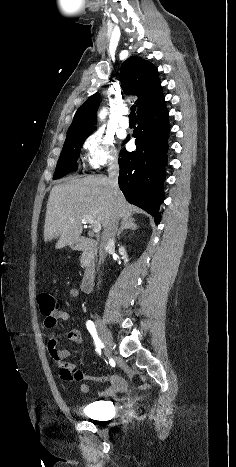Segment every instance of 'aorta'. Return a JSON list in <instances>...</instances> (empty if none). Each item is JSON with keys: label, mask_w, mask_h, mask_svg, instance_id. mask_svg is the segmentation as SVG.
Returning a JSON list of instances; mask_svg holds the SVG:
<instances>
[{"label": "aorta", "mask_w": 236, "mask_h": 467, "mask_svg": "<svg viewBox=\"0 0 236 467\" xmlns=\"http://www.w3.org/2000/svg\"><path fill=\"white\" fill-rule=\"evenodd\" d=\"M106 115H107V109L103 108L99 113V118L102 120L105 118Z\"/></svg>", "instance_id": "1"}]
</instances>
